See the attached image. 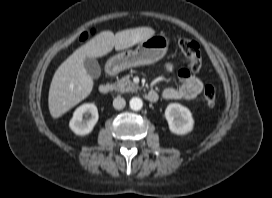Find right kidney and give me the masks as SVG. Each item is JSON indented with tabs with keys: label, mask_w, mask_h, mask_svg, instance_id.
I'll list each match as a JSON object with an SVG mask.
<instances>
[{
	"label": "right kidney",
	"mask_w": 272,
	"mask_h": 198,
	"mask_svg": "<svg viewBox=\"0 0 272 198\" xmlns=\"http://www.w3.org/2000/svg\"><path fill=\"white\" fill-rule=\"evenodd\" d=\"M87 114H90L91 117L83 121V116H87ZM98 117V109L95 104H82L74 111L73 117L69 122V127L76 135H87L93 130Z\"/></svg>",
	"instance_id": "ca27d5eb"
}]
</instances>
